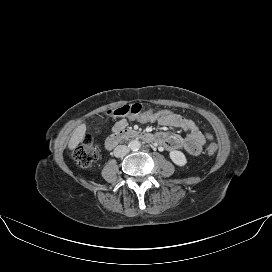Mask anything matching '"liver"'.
Segmentation results:
<instances>
[{"instance_id":"1","label":"liver","mask_w":272,"mask_h":272,"mask_svg":"<svg viewBox=\"0 0 272 272\" xmlns=\"http://www.w3.org/2000/svg\"><path fill=\"white\" fill-rule=\"evenodd\" d=\"M85 132H86V124H84V123L79 125L74 130V132L69 140V143H68V148L70 150H73L78 146V144L83 140Z\"/></svg>"}]
</instances>
